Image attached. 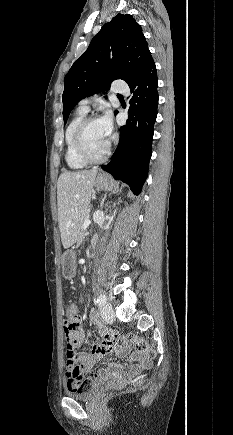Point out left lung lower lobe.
I'll return each mask as SVG.
<instances>
[{
	"instance_id": "1",
	"label": "left lung lower lobe",
	"mask_w": 233,
	"mask_h": 435,
	"mask_svg": "<svg viewBox=\"0 0 233 435\" xmlns=\"http://www.w3.org/2000/svg\"><path fill=\"white\" fill-rule=\"evenodd\" d=\"M130 87L129 119L120 128L121 138L111 161L102 167L130 186L138 195L148 176L152 138L158 105V79L155 63Z\"/></svg>"
}]
</instances>
